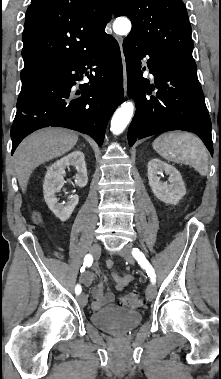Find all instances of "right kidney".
Wrapping results in <instances>:
<instances>
[{"label":"right kidney","instance_id":"ca27d5eb","mask_svg":"<svg viewBox=\"0 0 221 379\" xmlns=\"http://www.w3.org/2000/svg\"><path fill=\"white\" fill-rule=\"evenodd\" d=\"M69 166L75 167L77 174L75 183L79 187H85L88 182L85 156L81 151H74L54 162L47 170L43 183L44 199L49 209L61 221H66L71 216L79 202L78 195H69L67 203L60 204L56 193L64 184L65 169Z\"/></svg>","mask_w":221,"mask_h":379}]
</instances>
